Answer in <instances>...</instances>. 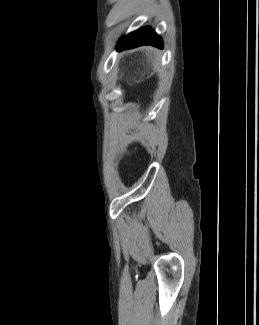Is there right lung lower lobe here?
Returning a JSON list of instances; mask_svg holds the SVG:
<instances>
[{
	"label": "right lung lower lobe",
	"mask_w": 259,
	"mask_h": 325,
	"mask_svg": "<svg viewBox=\"0 0 259 325\" xmlns=\"http://www.w3.org/2000/svg\"><path fill=\"white\" fill-rule=\"evenodd\" d=\"M141 45H152L162 48L163 41L152 28L143 27L123 37L117 46V51L131 49Z\"/></svg>",
	"instance_id": "obj_1"
}]
</instances>
